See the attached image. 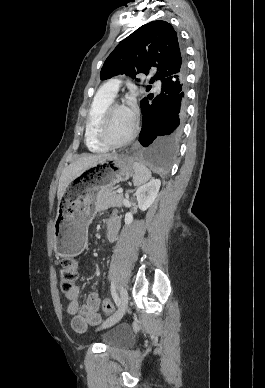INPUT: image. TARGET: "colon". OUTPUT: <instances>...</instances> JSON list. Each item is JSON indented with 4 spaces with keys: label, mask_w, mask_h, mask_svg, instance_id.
Listing matches in <instances>:
<instances>
[{
    "label": "colon",
    "mask_w": 265,
    "mask_h": 388,
    "mask_svg": "<svg viewBox=\"0 0 265 388\" xmlns=\"http://www.w3.org/2000/svg\"><path fill=\"white\" fill-rule=\"evenodd\" d=\"M79 263L75 258H65L62 261L60 271V288L63 292H69L78 279ZM112 304L109 300H103L101 304V315H108L112 312Z\"/></svg>",
    "instance_id": "1"
}]
</instances>
